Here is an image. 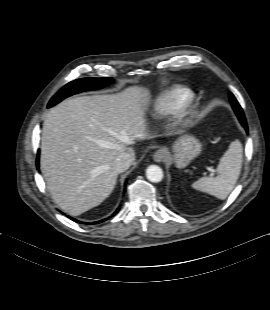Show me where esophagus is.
Wrapping results in <instances>:
<instances>
[{"label":"esophagus","instance_id":"1","mask_svg":"<svg viewBox=\"0 0 270 310\" xmlns=\"http://www.w3.org/2000/svg\"><path fill=\"white\" fill-rule=\"evenodd\" d=\"M167 156H168L167 149L166 148H160L154 153L153 159L155 162H162L167 158Z\"/></svg>","mask_w":270,"mask_h":310}]
</instances>
